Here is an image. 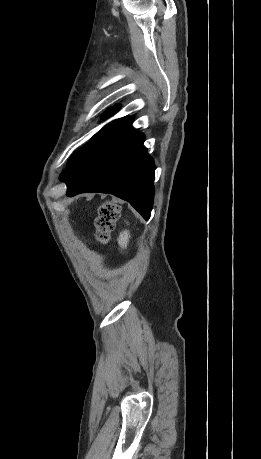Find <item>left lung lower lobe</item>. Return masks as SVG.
Returning a JSON list of instances; mask_svg holds the SVG:
<instances>
[{"label": "left lung lower lobe", "instance_id": "left-lung-lower-lobe-1", "mask_svg": "<svg viewBox=\"0 0 261 459\" xmlns=\"http://www.w3.org/2000/svg\"><path fill=\"white\" fill-rule=\"evenodd\" d=\"M129 119L65 181L66 195L111 193L150 218L154 198V162L143 146L144 135Z\"/></svg>", "mask_w": 261, "mask_h": 459}]
</instances>
